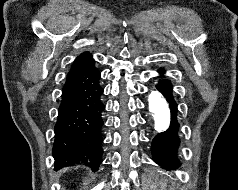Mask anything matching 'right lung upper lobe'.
<instances>
[{"mask_svg": "<svg viewBox=\"0 0 238 190\" xmlns=\"http://www.w3.org/2000/svg\"><path fill=\"white\" fill-rule=\"evenodd\" d=\"M91 60V54L88 52L82 53L73 63L71 66V70L69 73L75 71L79 67H81L85 62Z\"/></svg>", "mask_w": 238, "mask_h": 190, "instance_id": "cb5924a9", "label": "right lung upper lobe"}]
</instances>
